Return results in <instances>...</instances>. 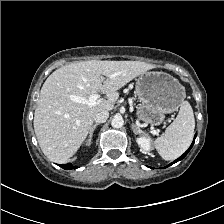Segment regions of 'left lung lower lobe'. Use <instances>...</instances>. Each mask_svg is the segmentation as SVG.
Segmentation results:
<instances>
[{
    "instance_id": "left-lung-lower-lobe-1",
    "label": "left lung lower lobe",
    "mask_w": 224,
    "mask_h": 224,
    "mask_svg": "<svg viewBox=\"0 0 224 224\" xmlns=\"http://www.w3.org/2000/svg\"><path fill=\"white\" fill-rule=\"evenodd\" d=\"M195 138H196V135H195V137H194V141H195ZM194 141H193V143H192V145L190 146V148L180 157V158H178L177 160H175L173 163H175V162H177V161H179V160H181V159H183L186 155H187V153L190 151V149L192 148V146H193V144H194ZM173 163H171V164H169L168 166H170V165H172ZM167 166V167H168Z\"/></svg>"
}]
</instances>
